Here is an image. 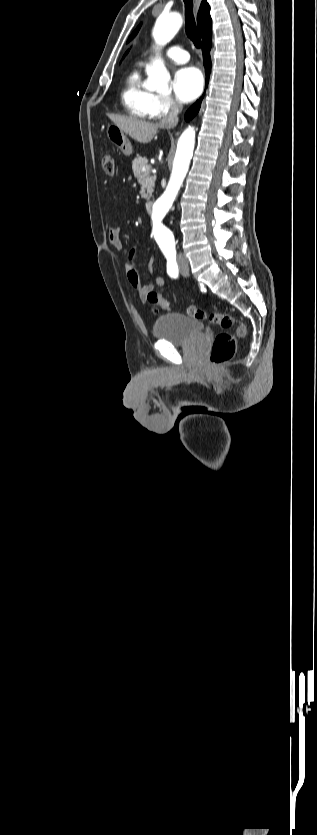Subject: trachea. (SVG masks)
<instances>
[{
	"label": "trachea",
	"instance_id": "obj_1",
	"mask_svg": "<svg viewBox=\"0 0 317 835\" xmlns=\"http://www.w3.org/2000/svg\"><path fill=\"white\" fill-rule=\"evenodd\" d=\"M185 4V30L188 38L196 48L201 47V38L196 30V23L193 16V0H183Z\"/></svg>",
	"mask_w": 317,
	"mask_h": 835
}]
</instances>
